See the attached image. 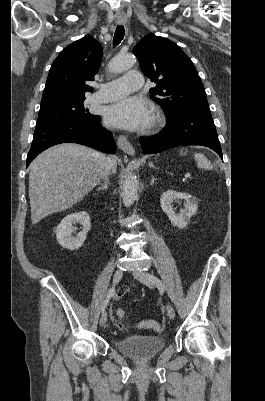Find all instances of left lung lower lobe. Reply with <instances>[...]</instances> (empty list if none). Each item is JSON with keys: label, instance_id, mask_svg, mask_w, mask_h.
Returning <instances> with one entry per match:
<instances>
[{"label": "left lung lower lobe", "instance_id": "0a47b994", "mask_svg": "<svg viewBox=\"0 0 265 401\" xmlns=\"http://www.w3.org/2000/svg\"><path fill=\"white\" fill-rule=\"evenodd\" d=\"M143 154L159 153L183 145H202L222 158L220 142L210 111L189 110L167 118V126L151 137H140Z\"/></svg>", "mask_w": 265, "mask_h": 401}]
</instances>
